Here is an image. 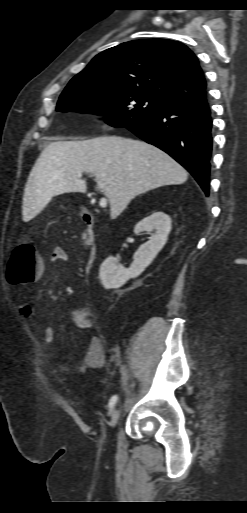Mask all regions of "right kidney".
<instances>
[{
	"label": "right kidney",
	"instance_id": "right-kidney-1",
	"mask_svg": "<svg viewBox=\"0 0 247 513\" xmlns=\"http://www.w3.org/2000/svg\"><path fill=\"white\" fill-rule=\"evenodd\" d=\"M172 220L164 212H154L144 218L134 228V233L152 232L149 241L142 244L134 254V261L129 269L119 265L113 256H109L100 266L99 277L106 289L119 288L127 280L140 275L154 260L166 244L171 231Z\"/></svg>",
	"mask_w": 247,
	"mask_h": 513
}]
</instances>
